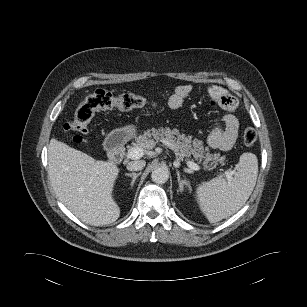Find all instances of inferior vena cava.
<instances>
[{"instance_id": "obj_1", "label": "inferior vena cava", "mask_w": 307, "mask_h": 307, "mask_svg": "<svg viewBox=\"0 0 307 307\" xmlns=\"http://www.w3.org/2000/svg\"><path fill=\"white\" fill-rule=\"evenodd\" d=\"M146 165L144 160H135L127 164V169L130 171H139L142 170Z\"/></svg>"}]
</instances>
